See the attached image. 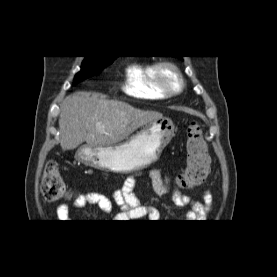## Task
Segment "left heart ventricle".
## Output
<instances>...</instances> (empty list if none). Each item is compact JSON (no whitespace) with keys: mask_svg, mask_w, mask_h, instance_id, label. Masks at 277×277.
<instances>
[{"mask_svg":"<svg viewBox=\"0 0 277 277\" xmlns=\"http://www.w3.org/2000/svg\"><path fill=\"white\" fill-rule=\"evenodd\" d=\"M164 77L170 88L175 89L178 86V80L172 71L165 69Z\"/></svg>","mask_w":277,"mask_h":277,"instance_id":"b2bd125f","label":"left heart ventricle"}]
</instances>
